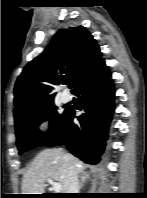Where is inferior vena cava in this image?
Instances as JSON below:
<instances>
[{
	"instance_id": "obj_1",
	"label": "inferior vena cava",
	"mask_w": 147,
	"mask_h": 198,
	"mask_svg": "<svg viewBox=\"0 0 147 198\" xmlns=\"http://www.w3.org/2000/svg\"><path fill=\"white\" fill-rule=\"evenodd\" d=\"M67 179H68L67 193H79L78 173L76 169L71 165L68 166Z\"/></svg>"
}]
</instances>
